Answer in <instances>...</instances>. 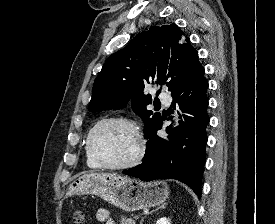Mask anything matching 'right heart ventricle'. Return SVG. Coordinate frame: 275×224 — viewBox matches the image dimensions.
<instances>
[{"label":"right heart ventricle","mask_w":275,"mask_h":224,"mask_svg":"<svg viewBox=\"0 0 275 224\" xmlns=\"http://www.w3.org/2000/svg\"><path fill=\"white\" fill-rule=\"evenodd\" d=\"M85 159H86V164L89 168H91V169L100 168V166L97 164V162L90 155V153L87 149V144L86 143H85Z\"/></svg>","instance_id":"obj_1"}]
</instances>
